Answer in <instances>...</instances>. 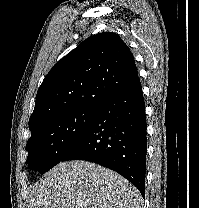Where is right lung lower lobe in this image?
Here are the masks:
<instances>
[{"label": "right lung lower lobe", "instance_id": "right-lung-lower-lobe-1", "mask_svg": "<svg viewBox=\"0 0 199 208\" xmlns=\"http://www.w3.org/2000/svg\"><path fill=\"white\" fill-rule=\"evenodd\" d=\"M146 114L140 80L97 106L89 127L62 161L86 160L110 168L145 196Z\"/></svg>", "mask_w": 199, "mask_h": 208}]
</instances>
